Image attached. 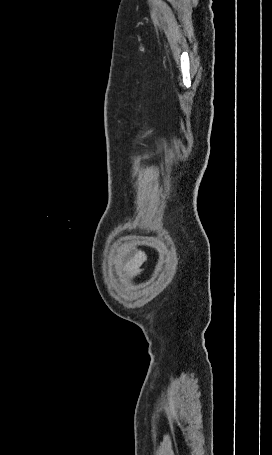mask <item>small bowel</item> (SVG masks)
<instances>
[{
    "mask_svg": "<svg viewBox=\"0 0 272 455\" xmlns=\"http://www.w3.org/2000/svg\"><path fill=\"white\" fill-rule=\"evenodd\" d=\"M147 254L144 251L135 252L125 263L122 273L125 277L131 278L140 272L142 264L146 261Z\"/></svg>",
    "mask_w": 272,
    "mask_h": 455,
    "instance_id": "1",
    "label": "small bowel"
}]
</instances>
